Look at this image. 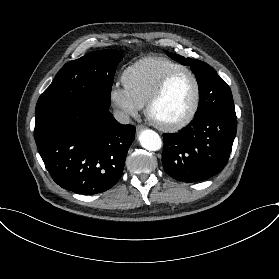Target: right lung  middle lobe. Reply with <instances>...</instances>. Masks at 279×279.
Here are the masks:
<instances>
[{
	"label": "right lung middle lobe",
	"instance_id": "dd1d6c3e",
	"mask_svg": "<svg viewBox=\"0 0 279 279\" xmlns=\"http://www.w3.org/2000/svg\"><path fill=\"white\" fill-rule=\"evenodd\" d=\"M122 58L118 50L111 49L66 63L39 97L35 113L47 105L78 97L91 98L109 108L113 76Z\"/></svg>",
	"mask_w": 279,
	"mask_h": 279
}]
</instances>
